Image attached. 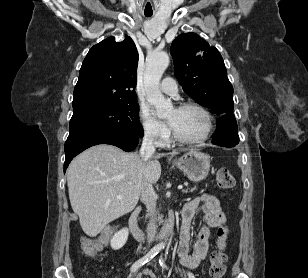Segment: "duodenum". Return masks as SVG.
Returning a JSON list of instances; mask_svg holds the SVG:
<instances>
[{"instance_id": "duodenum-1", "label": "duodenum", "mask_w": 308, "mask_h": 278, "mask_svg": "<svg viewBox=\"0 0 308 278\" xmlns=\"http://www.w3.org/2000/svg\"><path fill=\"white\" fill-rule=\"evenodd\" d=\"M139 213L140 209L137 208L136 210L133 211V213L130 216L129 219V227L131 230L132 235L134 238L138 241H145L147 238L146 233L141 229L139 226ZM174 231V219L170 218L168 223L164 226V228L159 232L157 235L156 239L157 240H164L169 238Z\"/></svg>"}]
</instances>
